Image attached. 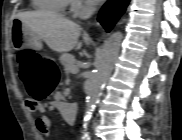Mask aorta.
<instances>
[{
  "instance_id": "obj_1",
  "label": "aorta",
  "mask_w": 182,
  "mask_h": 140,
  "mask_svg": "<svg viewBox=\"0 0 182 140\" xmlns=\"http://www.w3.org/2000/svg\"><path fill=\"white\" fill-rule=\"evenodd\" d=\"M122 39V33L115 32L105 41L102 47L98 57L96 70L92 75L87 93L84 121H88L90 119L93 109L99 101L103 86L111 74L114 63L118 57ZM84 136L88 137V134L85 133Z\"/></svg>"
}]
</instances>
